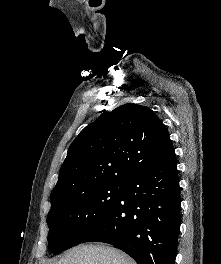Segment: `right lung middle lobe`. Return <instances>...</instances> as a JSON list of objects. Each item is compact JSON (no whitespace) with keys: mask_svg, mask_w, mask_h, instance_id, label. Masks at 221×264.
<instances>
[{"mask_svg":"<svg viewBox=\"0 0 221 264\" xmlns=\"http://www.w3.org/2000/svg\"><path fill=\"white\" fill-rule=\"evenodd\" d=\"M123 189L124 182L102 184L75 193L51 209L47 224L52 253L80 244L115 207Z\"/></svg>","mask_w":221,"mask_h":264,"instance_id":"1","label":"right lung middle lobe"}]
</instances>
